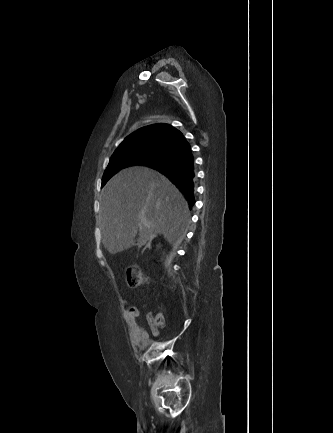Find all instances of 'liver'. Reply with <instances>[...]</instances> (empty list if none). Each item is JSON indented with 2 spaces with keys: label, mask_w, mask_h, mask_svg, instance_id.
I'll return each mask as SVG.
<instances>
[{
  "label": "liver",
  "mask_w": 333,
  "mask_h": 433,
  "mask_svg": "<svg viewBox=\"0 0 333 433\" xmlns=\"http://www.w3.org/2000/svg\"><path fill=\"white\" fill-rule=\"evenodd\" d=\"M189 217L188 203L179 190L147 167L121 170L101 191L99 225L110 254L130 248L136 237L139 246L157 234L179 244Z\"/></svg>",
  "instance_id": "liver-1"
}]
</instances>
